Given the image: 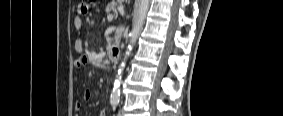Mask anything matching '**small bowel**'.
<instances>
[{
  "mask_svg": "<svg viewBox=\"0 0 283 116\" xmlns=\"http://www.w3.org/2000/svg\"><path fill=\"white\" fill-rule=\"evenodd\" d=\"M84 8L83 6H81L79 8V12L80 13H84ZM73 26L76 30H81L83 27V20L80 16H75L73 19ZM74 49L77 52H82L83 51V47H82V40L80 37L76 38L74 41ZM98 62V57L97 56H81L80 58H78L75 62V66L77 68H81L84 67L88 64H96ZM94 93L91 90H85L83 93V98L86 101H89L93 98ZM76 110H80L82 108V104L81 103H76L75 105ZM107 115V111L105 109H102L99 112V116H106Z\"/></svg>",
  "mask_w": 283,
  "mask_h": 116,
  "instance_id": "1",
  "label": "small bowel"
}]
</instances>
